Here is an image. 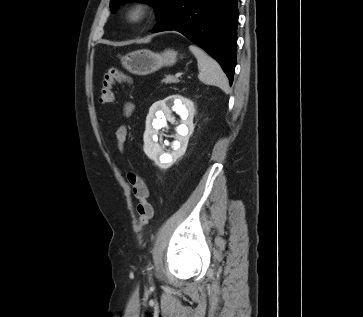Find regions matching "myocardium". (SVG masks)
I'll return each instance as SVG.
<instances>
[{"mask_svg": "<svg viewBox=\"0 0 363 317\" xmlns=\"http://www.w3.org/2000/svg\"><path fill=\"white\" fill-rule=\"evenodd\" d=\"M154 7L147 1H136L129 5L124 13V19L129 25H140L147 21L152 13Z\"/></svg>", "mask_w": 363, "mask_h": 317, "instance_id": "myocardium-1", "label": "myocardium"}]
</instances>
